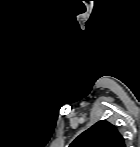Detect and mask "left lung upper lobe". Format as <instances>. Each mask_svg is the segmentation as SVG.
I'll return each instance as SVG.
<instances>
[{
	"label": "left lung upper lobe",
	"instance_id": "left-lung-upper-lobe-1",
	"mask_svg": "<svg viewBox=\"0 0 140 147\" xmlns=\"http://www.w3.org/2000/svg\"><path fill=\"white\" fill-rule=\"evenodd\" d=\"M70 147H125V139L116 126L102 120L80 134Z\"/></svg>",
	"mask_w": 140,
	"mask_h": 147
}]
</instances>
